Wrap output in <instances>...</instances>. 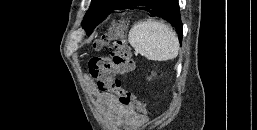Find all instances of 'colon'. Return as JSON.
I'll return each mask as SVG.
<instances>
[{"mask_svg": "<svg viewBox=\"0 0 257 130\" xmlns=\"http://www.w3.org/2000/svg\"><path fill=\"white\" fill-rule=\"evenodd\" d=\"M126 33L127 23L122 19L116 21L106 34L95 40L94 50H100L112 42L111 54L108 57H92L88 63V71L99 92L115 94L121 105L145 116L148 113L146 103L140 101L132 91L124 87L118 77L135 69V63L126 43Z\"/></svg>", "mask_w": 257, "mask_h": 130, "instance_id": "colon-1", "label": "colon"}]
</instances>
